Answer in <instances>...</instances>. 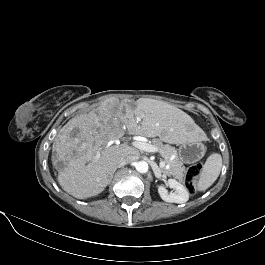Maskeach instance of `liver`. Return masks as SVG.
I'll return each mask as SVG.
<instances>
[{
	"label": "liver",
	"mask_w": 265,
	"mask_h": 265,
	"mask_svg": "<svg viewBox=\"0 0 265 265\" xmlns=\"http://www.w3.org/2000/svg\"><path fill=\"white\" fill-rule=\"evenodd\" d=\"M126 129L145 137L157 136L170 144L195 141L199 132L189 115L168 103L139 99L133 107L126 100L107 99L88 114L70 119L55 137L52 164L62 189L78 199L101 193L118 162L127 155H139V150L125 143L107 146L122 138ZM101 146L100 158L94 162Z\"/></svg>",
	"instance_id": "obj_1"
}]
</instances>
